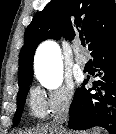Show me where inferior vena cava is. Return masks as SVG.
<instances>
[{"label": "inferior vena cava", "instance_id": "inferior-vena-cava-1", "mask_svg": "<svg viewBox=\"0 0 116 134\" xmlns=\"http://www.w3.org/2000/svg\"><path fill=\"white\" fill-rule=\"evenodd\" d=\"M68 116V108L63 109L58 113L54 120V128L58 131V133L63 134L64 133V127L63 123L66 121Z\"/></svg>", "mask_w": 116, "mask_h": 134}]
</instances>
